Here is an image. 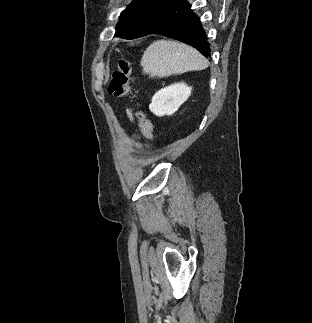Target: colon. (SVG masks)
<instances>
[{"instance_id":"1","label":"colon","mask_w":312,"mask_h":323,"mask_svg":"<svg viewBox=\"0 0 312 323\" xmlns=\"http://www.w3.org/2000/svg\"><path fill=\"white\" fill-rule=\"evenodd\" d=\"M131 71L132 68L130 61L127 58H121L119 60V67L114 71L108 86V91L111 96L121 98L132 95L133 87L129 81ZM138 119L142 136L144 139L152 141L154 138L152 122L143 112H138Z\"/></svg>"}]
</instances>
